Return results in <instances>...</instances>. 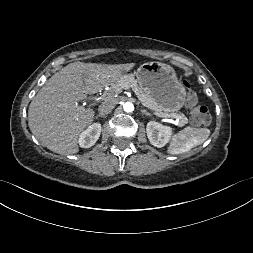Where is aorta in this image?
<instances>
[{
    "label": "aorta",
    "mask_w": 253,
    "mask_h": 253,
    "mask_svg": "<svg viewBox=\"0 0 253 253\" xmlns=\"http://www.w3.org/2000/svg\"><path fill=\"white\" fill-rule=\"evenodd\" d=\"M123 109L125 112H132L134 110V105L131 102H126L123 105Z\"/></svg>",
    "instance_id": "1"
}]
</instances>
